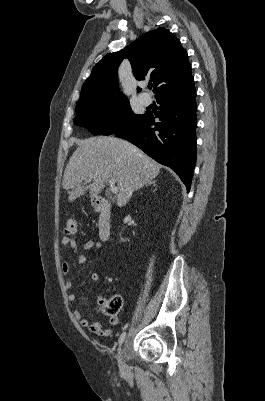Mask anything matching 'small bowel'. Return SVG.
Instances as JSON below:
<instances>
[{
    "label": "small bowel",
    "mask_w": 265,
    "mask_h": 401,
    "mask_svg": "<svg viewBox=\"0 0 265 401\" xmlns=\"http://www.w3.org/2000/svg\"><path fill=\"white\" fill-rule=\"evenodd\" d=\"M62 244L64 246L70 247L73 250V252L76 255L77 261L80 264H88L89 263L88 258L86 256L82 255L81 253H79L78 245H77V242H76L75 239L70 238L68 236H65L62 239ZM82 248L85 251L98 250V249L101 248V242H99L97 240H94V239H88V240H86L84 242ZM70 270H71L70 262L69 261H64L62 263V272H63V274L65 276H67L69 274ZM90 279L93 282H97V281H99L100 276H99L98 273H92L91 276H90ZM65 287H66V289H70L72 287V281L70 279H66ZM76 299H77V296H76L75 293L71 292V293L68 294V300L70 302L74 303L76 301ZM101 300L102 299H99V303H100ZM74 317L83 328L88 329L91 333H94V334H96L98 336L107 337V336H110L111 333H112L111 330H109V329H103L101 323H99V322L90 323L87 319H85L82 316L81 312L79 310H77V309L74 310ZM117 320L118 319H117L116 316H112L110 318V323L111 324H116Z\"/></svg>",
    "instance_id": "small-bowel-1"
}]
</instances>
